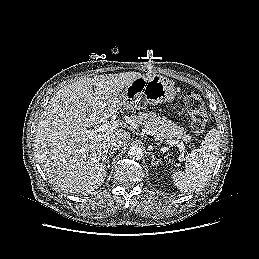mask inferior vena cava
Wrapping results in <instances>:
<instances>
[{"instance_id":"inferior-vena-cava-1","label":"inferior vena cava","mask_w":259,"mask_h":259,"mask_svg":"<svg viewBox=\"0 0 259 259\" xmlns=\"http://www.w3.org/2000/svg\"><path fill=\"white\" fill-rule=\"evenodd\" d=\"M123 146V141L119 138H111L107 142V147L110 148V150H118Z\"/></svg>"}]
</instances>
